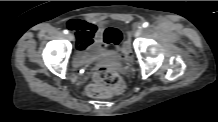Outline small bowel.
<instances>
[{"instance_id": "obj_1", "label": "small bowel", "mask_w": 218, "mask_h": 122, "mask_svg": "<svg viewBox=\"0 0 218 122\" xmlns=\"http://www.w3.org/2000/svg\"><path fill=\"white\" fill-rule=\"evenodd\" d=\"M69 29L73 30L76 35V46L81 52L90 50L94 56L103 55L106 50L101 46L102 27H98L93 23L84 20L71 19L67 22ZM126 39L122 47L115 51L118 52L124 48Z\"/></svg>"}]
</instances>
